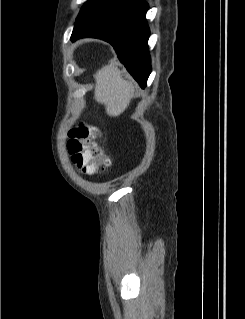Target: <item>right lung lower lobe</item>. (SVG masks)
Here are the masks:
<instances>
[{"label": "right lung lower lobe", "mask_w": 245, "mask_h": 319, "mask_svg": "<svg viewBox=\"0 0 245 319\" xmlns=\"http://www.w3.org/2000/svg\"><path fill=\"white\" fill-rule=\"evenodd\" d=\"M148 4L131 0L95 24L73 32L71 38L94 37L109 42L130 74L144 88L151 73L148 51L150 31L145 19Z\"/></svg>", "instance_id": "98d812e1"}]
</instances>
